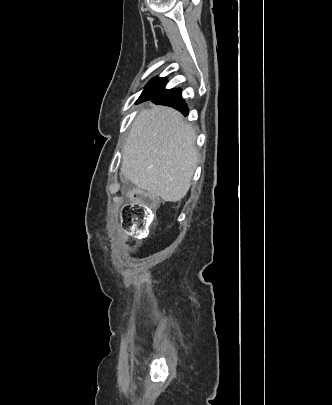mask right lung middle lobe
<instances>
[{
	"label": "right lung middle lobe",
	"mask_w": 332,
	"mask_h": 405,
	"mask_svg": "<svg viewBox=\"0 0 332 405\" xmlns=\"http://www.w3.org/2000/svg\"><path fill=\"white\" fill-rule=\"evenodd\" d=\"M166 78H153L146 86L145 90L143 91L144 94L150 93H160L167 91L165 90L166 85Z\"/></svg>",
	"instance_id": "right-lung-middle-lobe-1"
}]
</instances>
